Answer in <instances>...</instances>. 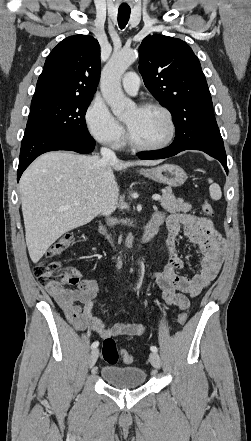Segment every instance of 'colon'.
<instances>
[{
    "label": "colon",
    "mask_w": 251,
    "mask_h": 441,
    "mask_svg": "<svg viewBox=\"0 0 251 441\" xmlns=\"http://www.w3.org/2000/svg\"><path fill=\"white\" fill-rule=\"evenodd\" d=\"M202 210L205 215L212 217L214 215V209L212 205L205 201L202 205ZM74 241L72 233H66L62 235L53 245L50 247L47 257H55L66 249H68ZM34 275L37 282L42 287H56L64 288L67 285H76L80 282V277L76 269L71 267H64L59 261L56 260H44L39 262L34 268ZM188 320V314L182 312L178 316L179 325L183 326ZM102 355L104 360L108 364H116L119 356H121L123 362L129 364L133 361V357L127 351L119 353L115 340L112 337H107L103 341Z\"/></svg>",
    "instance_id": "colon-1"
}]
</instances>
